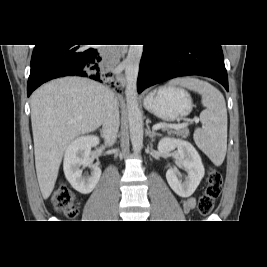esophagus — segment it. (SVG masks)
Wrapping results in <instances>:
<instances>
[{"label": "esophagus", "instance_id": "obj_1", "mask_svg": "<svg viewBox=\"0 0 267 267\" xmlns=\"http://www.w3.org/2000/svg\"><path fill=\"white\" fill-rule=\"evenodd\" d=\"M118 80L122 82L124 79L122 77H119Z\"/></svg>", "mask_w": 267, "mask_h": 267}]
</instances>
